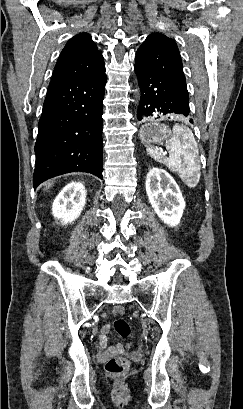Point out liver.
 Masks as SVG:
<instances>
[{"instance_id":"1","label":"liver","mask_w":243,"mask_h":409,"mask_svg":"<svg viewBox=\"0 0 243 409\" xmlns=\"http://www.w3.org/2000/svg\"><path fill=\"white\" fill-rule=\"evenodd\" d=\"M51 186V183H47L45 186V190H47Z\"/></svg>"}]
</instances>
